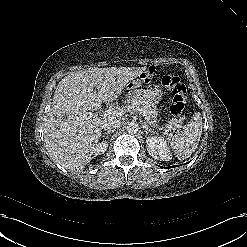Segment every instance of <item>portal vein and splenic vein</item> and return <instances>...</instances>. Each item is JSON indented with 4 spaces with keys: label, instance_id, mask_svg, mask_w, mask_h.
Wrapping results in <instances>:
<instances>
[{
    "label": "portal vein and splenic vein",
    "instance_id": "obj_1",
    "mask_svg": "<svg viewBox=\"0 0 247 247\" xmlns=\"http://www.w3.org/2000/svg\"><path fill=\"white\" fill-rule=\"evenodd\" d=\"M126 112L125 109L119 107H109L108 110H103L101 113L102 117H109V116H122ZM141 114V113H140ZM181 125L176 124L175 126H170L169 129L175 130L176 128H181Z\"/></svg>",
    "mask_w": 247,
    "mask_h": 247
}]
</instances>
